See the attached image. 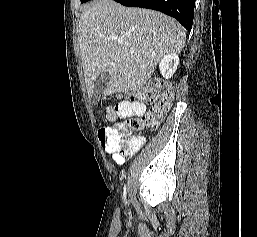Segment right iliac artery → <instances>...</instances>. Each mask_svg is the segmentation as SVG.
Here are the masks:
<instances>
[{
    "mask_svg": "<svg viewBox=\"0 0 257 237\" xmlns=\"http://www.w3.org/2000/svg\"><path fill=\"white\" fill-rule=\"evenodd\" d=\"M124 199H126V186H124Z\"/></svg>",
    "mask_w": 257,
    "mask_h": 237,
    "instance_id": "obj_1",
    "label": "right iliac artery"
}]
</instances>
